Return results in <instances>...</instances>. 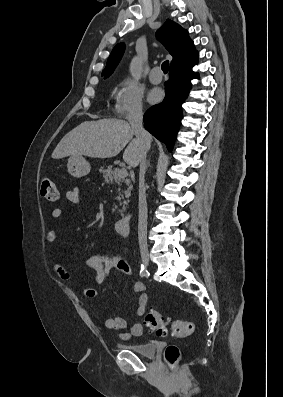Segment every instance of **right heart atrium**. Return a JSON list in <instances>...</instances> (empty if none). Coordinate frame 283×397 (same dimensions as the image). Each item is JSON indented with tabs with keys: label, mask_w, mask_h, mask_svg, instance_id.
<instances>
[{
	"label": "right heart atrium",
	"mask_w": 283,
	"mask_h": 397,
	"mask_svg": "<svg viewBox=\"0 0 283 397\" xmlns=\"http://www.w3.org/2000/svg\"><path fill=\"white\" fill-rule=\"evenodd\" d=\"M143 94L140 88L130 79L122 80L113 98V113L123 119L142 115L144 112Z\"/></svg>",
	"instance_id": "d8ad5b80"
}]
</instances>
